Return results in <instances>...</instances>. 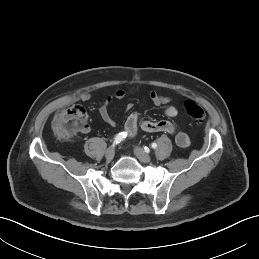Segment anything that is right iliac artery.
<instances>
[{
	"instance_id": "obj_1",
	"label": "right iliac artery",
	"mask_w": 259,
	"mask_h": 259,
	"mask_svg": "<svg viewBox=\"0 0 259 259\" xmlns=\"http://www.w3.org/2000/svg\"><path fill=\"white\" fill-rule=\"evenodd\" d=\"M126 138V133L125 132H121L119 134H117L114 138V144H118L121 141H123Z\"/></svg>"
}]
</instances>
